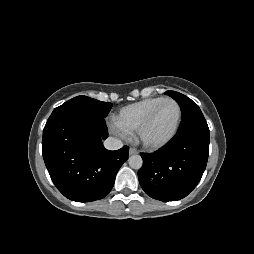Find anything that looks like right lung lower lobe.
I'll list each match as a JSON object with an SVG mask.
<instances>
[{
	"instance_id": "1",
	"label": "right lung lower lobe",
	"mask_w": 254,
	"mask_h": 254,
	"mask_svg": "<svg viewBox=\"0 0 254 254\" xmlns=\"http://www.w3.org/2000/svg\"><path fill=\"white\" fill-rule=\"evenodd\" d=\"M107 137L104 118L70 110L49 117L43 130V159L53 183L68 199L95 201L112 189L129 147L109 151L102 143Z\"/></svg>"
}]
</instances>
